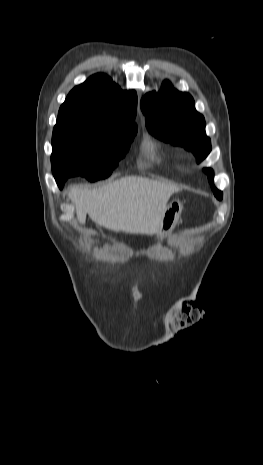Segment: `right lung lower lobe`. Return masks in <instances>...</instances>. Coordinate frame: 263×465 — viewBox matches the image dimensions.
<instances>
[{
	"label": "right lung lower lobe",
	"instance_id": "1",
	"mask_svg": "<svg viewBox=\"0 0 263 465\" xmlns=\"http://www.w3.org/2000/svg\"><path fill=\"white\" fill-rule=\"evenodd\" d=\"M65 181H66V179H64V178H56V182H57L60 189L63 188V185H64Z\"/></svg>",
	"mask_w": 263,
	"mask_h": 465
}]
</instances>
